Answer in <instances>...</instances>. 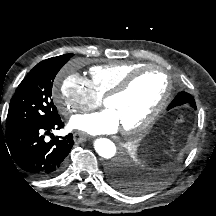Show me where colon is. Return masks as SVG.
<instances>
[{
	"instance_id": "1",
	"label": "colon",
	"mask_w": 216,
	"mask_h": 216,
	"mask_svg": "<svg viewBox=\"0 0 216 216\" xmlns=\"http://www.w3.org/2000/svg\"><path fill=\"white\" fill-rule=\"evenodd\" d=\"M184 121V117L179 118L178 123L181 124Z\"/></svg>"
}]
</instances>
